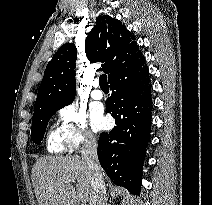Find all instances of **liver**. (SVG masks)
Returning a JSON list of instances; mask_svg holds the SVG:
<instances>
[{
  "instance_id": "1",
  "label": "liver",
  "mask_w": 212,
  "mask_h": 205,
  "mask_svg": "<svg viewBox=\"0 0 212 205\" xmlns=\"http://www.w3.org/2000/svg\"><path fill=\"white\" fill-rule=\"evenodd\" d=\"M38 205H79L93 196L91 171L79 156H46L33 166ZM76 182L74 187L71 183Z\"/></svg>"
}]
</instances>
